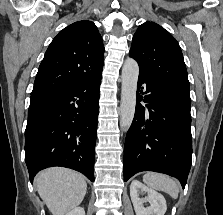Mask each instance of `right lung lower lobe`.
Wrapping results in <instances>:
<instances>
[{"label": "right lung lower lobe", "instance_id": "right-lung-lower-lobe-1", "mask_svg": "<svg viewBox=\"0 0 223 215\" xmlns=\"http://www.w3.org/2000/svg\"><path fill=\"white\" fill-rule=\"evenodd\" d=\"M102 72L66 90L31 100L25 130L30 181L42 169L62 166L94 181Z\"/></svg>", "mask_w": 223, "mask_h": 215}]
</instances>
